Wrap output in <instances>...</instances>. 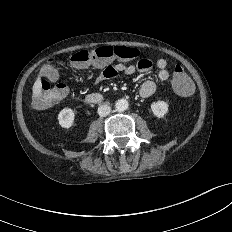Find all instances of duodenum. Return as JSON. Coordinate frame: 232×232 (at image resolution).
I'll list each match as a JSON object with an SVG mask.
<instances>
[{"label": "duodenum", "mask_w": 232, "mask_h": 232, "mask_svg": "<svg viewBox=\"0 0 232 232\" xmlns=\"http://www.w3.org/2000/svg\"><path fill=\"white\" fill-rule=\"evenodd\" d=\"M103 100V96L98 93H91L86 96V101L89 103H98Z\"/></svg>", "instance_id": "410a0bca"}]
</instances>
